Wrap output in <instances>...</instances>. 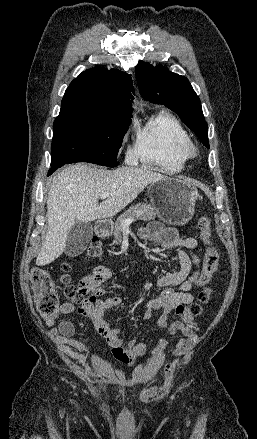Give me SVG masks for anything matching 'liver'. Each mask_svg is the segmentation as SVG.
<instances>
[{"label": "liver", "instance_id": "obj_1", "mask_svg": "<svg viewBox=\"0 0 257 439\" xmlns=\"http://www.w3.org/2000/svg\"><path fill=\"white\" fill-rule=\"evenodd\" d=\"M165 177L139 167L106 170L86 163L65 167L53 178L48 194V229L36 264L47 265L64 252L76 221L90 223L110 218L135 200L148 184ZM102 192L110 195L99 204Z\"/></svg>", "mask_w": 257, "mask_h": 439}]
</instances>
